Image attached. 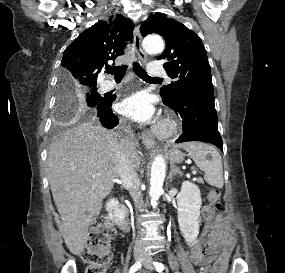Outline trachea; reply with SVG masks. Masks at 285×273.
<instances>
[{"label":"trachea","instance_id":"trachea-1","mask_svg":"<svg viewBox=\"0 0 285 273\" xmlns=\"http://www.w3.org/2000/svg\"><path fill=\"white\" fill-rule=\"evenodd\" d=\"M126 70H127V65H122L117 67L106 68V73L113 74L115 79H123V77L126 74ZM133 70L135 74L143 80L161 81V79L149 76L138 62L133 63Z\"/></svg>","mask_w":285,"mask_h":273}]
</instances>
